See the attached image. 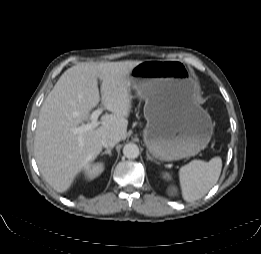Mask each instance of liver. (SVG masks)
<instances>
[{
    "instance_id": "liver-1",
    "label": "liver",
    "mask_w": 261,
    "mask_h": 254,
    "mask_svg": "<svg viewBox=\"0 0 261 254\" xmlns=\"http://www.w3.org/2000/svg\"><path fill=\"white\" fill-rule=\"evenodd\" d=\"M142 61L79 63L67 69L44 100L37 122L34 155L46 182L58 193L69 189L74 178L102 151V140L116 134L127 136L131 96L128 75ZM112 114L82 134L74 128L90 120L100 101ZM87 123V124H88Z\"/></svg>"
}]
</instances>
